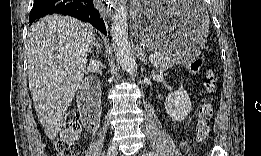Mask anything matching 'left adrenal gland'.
Segmentation results:
<instances>
[{
    "label": "left adrenal gland",
    "instance_id": "left-adrenal-gland-1",
    "mask_svg": "<svg viewBox=\"0 0 261 156\" xmlns=\"http://www.w3.org/2000/svg\"><path fill=\"white\" fill-rule=\"evenodd\" d=\"M137 51H138L140 61L142 62V64L149 65V62L146 58V54H145L144 50L138 44H137Z\"/></svg>",
    "mask_w": 261,
    "mask_h": 156
}]
</instances>
